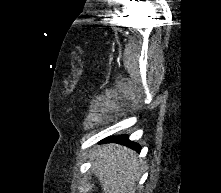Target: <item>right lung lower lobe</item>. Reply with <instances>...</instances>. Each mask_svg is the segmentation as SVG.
I'll return each instance as SVG.
<instances>
[{"instance_id": "98d812e1", "label": "right lung lower lobe", "mask_w": 221, "mask_h": 193, "mask_svg": "<svg viewBox=\"0 0 221 193\" xmlns=\"http://www.w3.org/2000/svg\"><path fill=\"white\" fill-rule=\"evenodd\" d=\"M109 140V139H108ZM110 140L114 141V142H118V143H122V144H126L127 146L140 151V146L137 143H134L132 141H129L128 136L127 135H122V136H117L114 138H110Z\"/></svg>"}]
</instances>
